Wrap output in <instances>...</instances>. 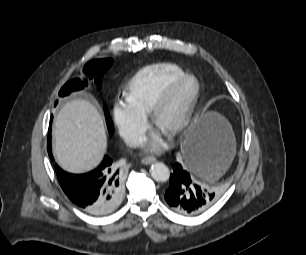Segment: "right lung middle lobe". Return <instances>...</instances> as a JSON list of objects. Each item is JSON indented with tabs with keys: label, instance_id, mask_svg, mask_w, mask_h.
I'll list each match as a JSON object with an SVG mask.
<instances>
[{
	"label": "right lung middle lobe",
	"instance_id": "obj_1",
	"mask_svg": "<svg viewBox=\"0 0 306 255\" xmlns=\"http://www.w3.org/2000/svg\"><path fill=\"white\" fill-rule=\"evenodd\" d=\"M113 60L110 58L107 59H98V60H92L87 63V65L84 68V71L87 75H89L90 79H93L95 83L98 86V89L101 88V81L103 78L104 73L108 70V68L112 65ZM87 85V80L85 79L83 82L80 79H73L69 82H67L60 90L59 95L61 97H64L66 95H69L72 91L80 90L84 86ZM57 104V101L55 105ZM105 115H106V121L107 126L109 129V132L112 134L114 132L113 123L111 120V117L109 115L107 106L104 105Z\"/></svg>",
	"mask_w": 306,
	"mask_h": 255
}]
</instances>
